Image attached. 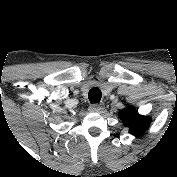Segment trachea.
<instances>
[{
	"label": "trachea",
	"mask_w": 177,
	"mask_h": 177,
	"mask_svg": "<svg viewBox=\"0 0 177 177\" xmlns=\"http://www.w3.org/2000/svg\"><path fill=\"white\" fill-rule=\"evenodd\" d=\"M101 97H102V93L99 88L94 87L89 91L88 98L92 104L99 103L101 100Z\"/></svg>",
	"instance_id": "1"
}]
</instances>
